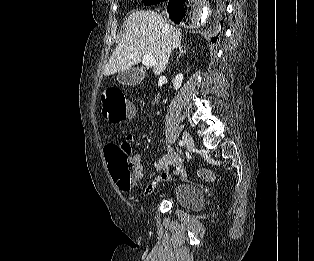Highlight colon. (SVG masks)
<instances>
[{
    "mask_svg": "<svg viewBox=\"0 0 314 261\" xmlns=\"http://www.w3.org/2000/svg\"><path fill=\"white\" fill-rule=\"evenodd\" d=\"M101 102L103 115L110 123L122 122L132 115V107L120 88L106 89L101 94ZM131 151V142L128 139L120 144H108L104 148L109 173L121 189H130L137 178ZM198 175L205 181H212L215 178L214 173L206 168L199 169Z\"/></svg>",
    "mask_w": 314,
    "mask_h": 261,
    "instance_id": "5ec220e1",
    "label": "colon"
}]
</instances>
